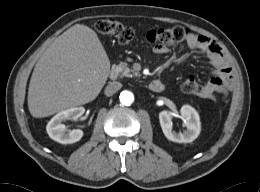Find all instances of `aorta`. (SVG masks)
I'll return each mask as SVG.
<instances>
[{
    "label": "aorta",
    "instance_id": "762f6f07",
    "mask_svg": "<svg viewBox=\"0 0 260 192\" xmlns=\"http://www.w3.org/2000/svg\"><path fill=\"white\" fill-rule=\"evenodd\" d=\"M119 99L121 104L129 106L134 102V95L132 92L124 90L120 93Z\"/></svg>",
    "mask_w": 260,
    "mask_h": 192
}]
</instances>
